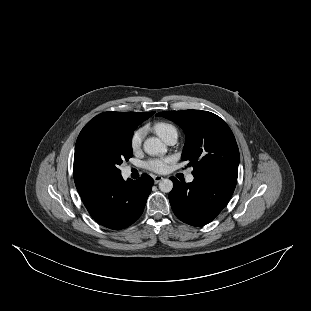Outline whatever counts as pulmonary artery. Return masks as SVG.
<instances>
[{"mask_svg":"<svg viewBox=\"0 0 311 311\" xmlns=\"http://www.w3.org/2000/svg\"><path fill=\"white\" fill-rule=\"evenodd\" d=\"M177 141V136H170L168 139L165 140V142L169 145H173L174 143H176ZM194 180V176L192 174H189L187 177H186V181L187 182H193Z\"/></svg>","mask_w":311,"mask_h":311,"instance_id":"e3ab8cb5","label":"pulmonary artery"}]
</instances>
